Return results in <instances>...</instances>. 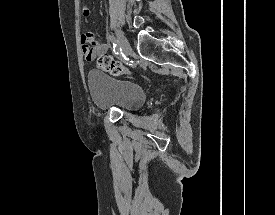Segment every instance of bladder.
I'll use <instances>...</instances> for the list:
<instances>
[{"mask_svg": "<svg viewBox=\"0 0 275 215\" xmlns=\"http://www.w3.org/2000/svg\"><path fill=\"white\" fill-rule=\"evenodd\" d=\"M87 81L93 103L101 110L134 111L147 99L146 91L139 83L117 79L99 70H90Z\"/></svg>", "mask_w": 275, "mask_h": 215, "instance_id": "obj_1", "label": "bladder"}]
</instances>
